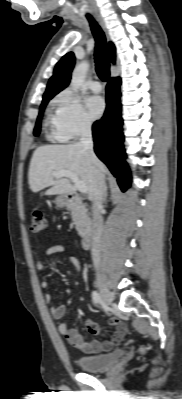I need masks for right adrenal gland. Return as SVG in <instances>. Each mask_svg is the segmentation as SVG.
Masks as SVG:
<instances>
[{
    "label": "right adrenal gland",
    "instance_id": "obj_1",
    "mask_svg": "<svg viewBox=\"0 0 182 399\" xmlns=\"http://www.w3.org/2000/svg\"><path fill=\"white\" fill-rule=\"evenodd\" d=\"M107 198V186L105 187V199Z\"/></svg>",
    "mask_w": 182,
    "mask_h": 399
}]
</instances>
